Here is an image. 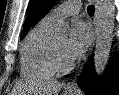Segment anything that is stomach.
Segmentation results:
<instances>
[{
  "instance_id": "obj_1",
  "label": "stomach",
  "mask_w": 119,
  "mask_h": 95,
  "mask_svg": "<svg viewBox=\"0 0 119 95\" xmlns=\"http://www.w3.org/2000/svg\"><path fill=\"white\" fill-rule=\"evenodd\" d=\"M64 95H74L72 92H69V91H65L64 92Z\"/></svg>"
}]
</instances>
